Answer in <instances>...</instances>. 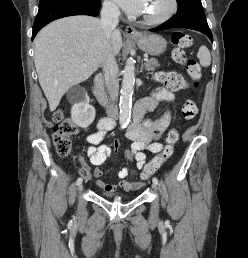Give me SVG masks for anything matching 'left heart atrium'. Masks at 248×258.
<instances>
[{
	"label": "left heart atrium",
	"mask_w": 248,
	"mask_h": 258,
	"mask_svg": "<svg viewBox=\"0 0 248 258\" xmlns=\"http://www.w3.org/2000/svg\"><path fill=\"white\" fill-rule=\"evenodd\" d=\"M121 7L131 15H140L144 12L147 0H116Z\"/></svg>",
	"instance_id": "39dd6f15"
}]
</instances>
